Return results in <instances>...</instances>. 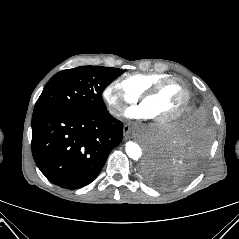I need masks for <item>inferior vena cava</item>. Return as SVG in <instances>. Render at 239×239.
<instances>
[{"mask_svg": "<svg viewBox=\"0 0 239 239\" xmlns=\"http://www.w3.org/2000/svg\"><path fill=\"white\" fill-rule=\"evenodd\" d=\"M122 108H114V109H112L111 110V113L113 114V115H115V116H119L120 115V113L122 112Z\"/></svg>", "mask_w": 239, "mask_h": 239, "instance_id": "602c4592", "label": "inferior vena cava"}]
</instances>
